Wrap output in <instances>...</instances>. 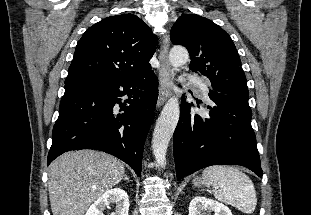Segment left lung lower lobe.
Masks as SVG:
<instances>
[{"mask_svg": "<svg viewBox=\"0 0 311 215\" xmlns=\"http://www.w3.org/2000/svg\"><path fill=\"white\" fill-rule=\"evenodd\" d=\"M212 106L194 114L182 98L173 136L177 179L210 165H241L262 177L248 99L209 90Z\"/></svg>", "mask_w": 311, "mask_h": 215, "instance_id": "obj_1", "label": "left lung lower lobe"}]
</instances>
